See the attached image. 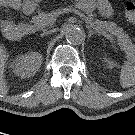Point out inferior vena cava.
I'll list each match as a JSON object with an SVG mask.
<instances>
[{
	"label": "inferior vena cava",
	"mask_w": 135,
	"mask_h": 135,
	"mask_svg": "<svg viewBox=\"0 0 135 135\" xmlns=\"http://www.w3.org/2000/svg\"><path fill=\"white\" fill-rule=\"evenodd\" d=\"M55 30H49V31H45L41 34V36H45V35H48V34H51L53 33Z\"/></svg>",
	"instance_id": "602c4592"
}]
</instances>
